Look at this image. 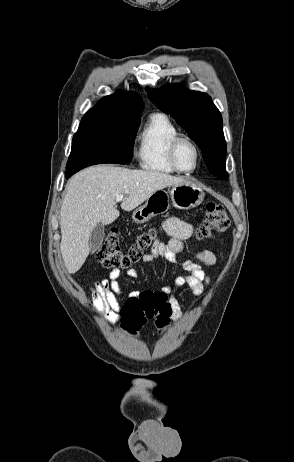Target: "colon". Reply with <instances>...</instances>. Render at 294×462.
<instances>
[{
	"mask_svg": "<svg viewBox=\"0 0 294 462\" xmlns=\"http://www.w3.org/2000/svg\"><path fill=\"white\" fill-rule=\"evenodd\" d=\"M229 216L222 205L209 203L196 235L199 239H210L228 229ZM155 232L141 234L128 251L119 245L117 229H111L96 253L97 261L107 269H125L138 262L143 251L149 247ZM171 306L166 294L161 291H142L128 298L120 312L121 325L131 332L138 331L147 321L153 320L159 328L167 326L171 318Z\"/></svg>",
	"mask_w": 294,
	"mask_h": 462,
	"instance_id": "colon-1",
	"label": "colon"
}]
</instances>
